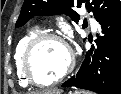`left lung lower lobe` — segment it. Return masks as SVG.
<instances>
[{
    "label": "left lung lower lobe",
    "instance_id": "1",
    "mask_svg": "<svg viewBox=\"0 0 121 94\" xmlns=\"http://www.w3.org/2000/svg\"><path fill=\"white\" fill-rule=\"evenodd\" d=\"M101 36L96 47L86 54L79 71L62 87L94 91L98 94H121V9L100 22Z\"/></svg>",
    "mask_w": 121,
    "mask_h": 94
}]
</instances>
